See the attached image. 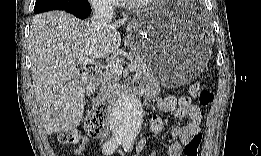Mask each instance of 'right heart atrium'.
Wrapping results in <instances>:
<instances>
[{
  "mask_svg": "<svg viewBox=\"0 0 261 156\" xmlns=\"http://www.w3.org/2000/svg\"><path fill=\"white\" fill-rule=\"evenodd\" d=\"M97 5L103 6L105 8H110L113 5V2L112 1H105V2H102V3H98Z\"/></svg>",
  "mask_w": 261,
  "mask_h": 156,
  "instance_id": "d8ad5b80",
  "label": "right heart atrium"
}]
</instances>
